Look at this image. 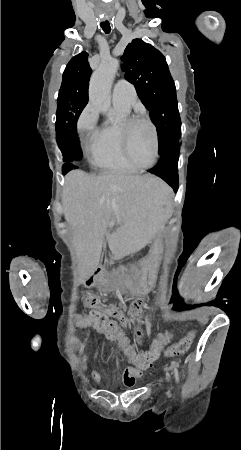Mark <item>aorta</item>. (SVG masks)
Instances as JSON below:
<instances>
[{
    "instance_id": "762f6f07",
    "label": "aorta",
    "mask_w": 241,
    "mask_h": 450,
    "mask_svg": "<svg viewBox=\"0 0 241 450\" xmlns=\"http://www.w3.org/2000/svg\"><path fill=\"white\" fill-rule=\"evenodd\" d=\"M119 69L117 59H107L93 72L89 85V101L103 113L111 108L110 89Z\"/></svg>"
}]
</instances>
